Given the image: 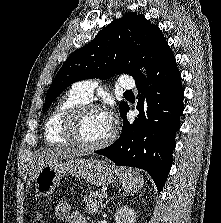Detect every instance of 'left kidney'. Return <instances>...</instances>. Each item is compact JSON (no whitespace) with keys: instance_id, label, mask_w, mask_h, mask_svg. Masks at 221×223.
Masks as SVG:
<instances>
[{"instance_id":"5707ae66","label":"left kidney","mask_w":221,"mask_h":223,"mask_svg":"<svg viewBox=\"0 0 221 223\" xmlns=\"http://www.w3.org/2000/svg\"><path fill=\"white\" fill-rule=\"evenodd\" d=\"M114 217L116 223H136V213L126 205L118 208Z\"/></svg>"}]
</instances>
